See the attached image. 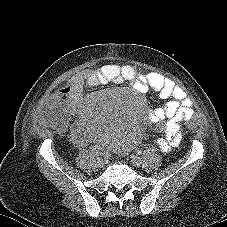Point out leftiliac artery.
I'll use <instances>...</instances> for the list:
<instances>
[{"label": "left iliac artery", "mask_w": 227, "mask_h": 227, "mask_svg": "<svg viewBox=\"0 0 227 227\" xmlns=\"http://www.w3.org/2000/svg\"><path fill=\"white\" fill-rule=\"evenodd\" d=\"M138 154L140 155V154H142V152H141V151H139V152H138Z\"/></svg>", "instance_id": "obj_1"}]
</instances>
